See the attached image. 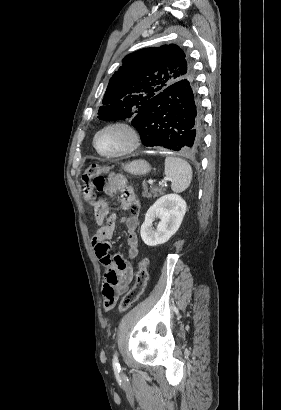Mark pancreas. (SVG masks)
I'll return each mask as SVG.
<instances>
[{
  "instance_id": "cf45deb5",
  "label": "pancreas",
  "mask_w": 281,
  "mask_h": 410,
  "mask_svg": "<svg viewBox=\"0 0 281 410\" xmlns=\"http://www.w3.org/2000/svg\"><path fill=\"white\" fill-rule=\"evenodd\" d=\"M164 189L158 187H152L150 191H148L147 186L144 185V191L142 193L143 197L151 198V197H158L159 195L163 194Z\"/></svg>"
}]
</instances>
